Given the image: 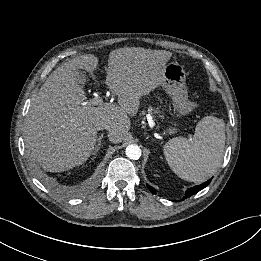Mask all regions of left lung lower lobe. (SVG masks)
<instances>
[{
	"label": "left lung lower lobe",
	"mask_w": 261,
	"mask_h": 261,
	"mask_svg": "<svg viewBox=\"0 0 261 261\" xmlns=\"http://www.w3.org/2000/svg\"><path fill=\"white\" fill-rule=\"evenodd\" d=\"M210 182H211V179L204 182L203 184H200V185L187 189L185 196L182 198V200H184L185 198L190 197V196L196 194L197 192H199L200 190L204 189ZM147 187L153 194L156 193V190L153 187H151L149 185H147Z\"/></svg>",
	"instance_id": "1"
}]
</instances>
